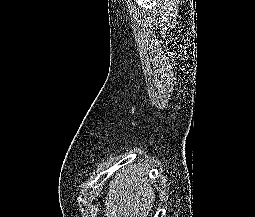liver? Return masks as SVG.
Returning a JSON list of instances; mask_svg holds the SVG:
<instances>
[{
	"label": "liver",
	"mask_w": 255,
	"mask_h": 217,
	"mask_svg": "<svg viewBox=\"0 0 255 217\" xmlns=\"http://www.w3.org/2000/svg\"><path fill=\"white\" fill-rule=\"evenodd\" d=\"M145 171L123 169L110 181L106 217H147L155 197Z\"/></svg>",
	"instance_id": "6515ba94"
}]
</instances>
